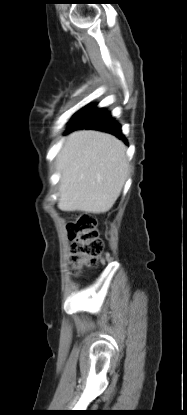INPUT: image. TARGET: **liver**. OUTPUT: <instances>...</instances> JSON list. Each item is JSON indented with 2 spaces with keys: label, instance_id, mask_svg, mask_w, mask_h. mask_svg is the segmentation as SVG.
Here are the masks:
<instances>
[{
  "label": "liver",
  "instance_id": "1",
  "mask_svg": "<svg viewBox=\"0 0 187 415\" xmlns=\"http://www.w3.org/2000/svg\"><path fill=\"white\" fill-rule=\"evenodd\" d=\"M126 146L93 130L69 134L56 158L60 173L58 208L105 213L117 200L128 176Z\"/></svg>",
  "mask_w": 187,
  "mask_h": 415
}]
</instances>
